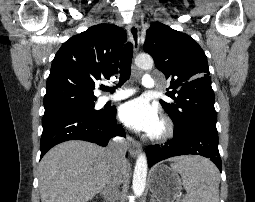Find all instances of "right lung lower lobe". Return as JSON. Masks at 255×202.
Segmentation results:
<instances>
[{"label":"right lung lower lobe","instance_id":"right-lung-lower-lobe-1","mask_svg":"<svg viewBox=\"0 0 255 202\" xmlns=\"http://www.w3.org/2000/svg\"><path fill=\"white\" fill-rule=\"evenodd\" d=\"M115 116V109L102 111L97 116L83 111H57L44 114L40 158L56 144L68 140H85L106 146L112 137H125V131L116 123Z\"/></svg>","mask_w":255,"mask_h":202}]
</instances>
